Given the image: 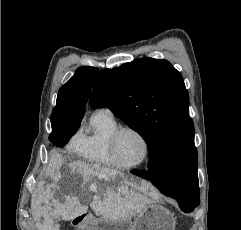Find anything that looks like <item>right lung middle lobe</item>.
I'll list each match as a JSON object with an SVG mask.
<instances>
[{"instance_id": "1", "label": "right lung middle lobe", "mask_w": 241, "mask_h": 230, "mask_svg": "<svg viewBox=\"0 0 241 230\" xmlns=\"http://www.w3.org/2000/svg\"><path fill=\"white\" fill-rule=\"evenodd\" d=\"M51 123L52 133L49 136V140L58 147L66 145L80 126V123L67 121H56Z\"/></svg>"}]
</instances>
